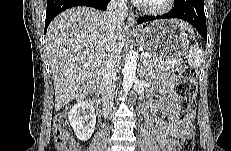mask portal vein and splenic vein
Masks as SVG:
<instances>
[{
    "mask_svg": "<svg viewBox=\"0 0 231 151\" xmlns=\"http://www.w3.org/2000/svg\"><path fill=\"white\" fill-rule=\"evenodd\" d=\"M141 57H142V58L148 57V54L142 53V54H141Z\"/></svg>",
    "mask_w": 231,
    "mask_h": 151,
    "instance_id": "obj_1",
    "label": "portal vein and splenic vein"
}]
</instances>
